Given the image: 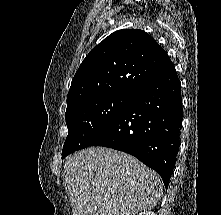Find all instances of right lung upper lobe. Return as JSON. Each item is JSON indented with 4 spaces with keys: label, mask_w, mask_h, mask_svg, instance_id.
<instances>
[{
    "label": "right lung upper lobe",
    "mask_w": 221,
    "mask_h": 215,
    "mask_svg": "<svg viewBox=\"0 0 221 215\" xmlns=\"http://www.w3.org/2000/svg\"><path fill=\"white\" fill-rule=\"evenodd\" d=\"M172 66L165 50L146 32L115 31L82 61L72 80L67 106L101 95L131 96Z\"/></svg>",
    "instance_id": "cb5924a9"
}]
</instances>
